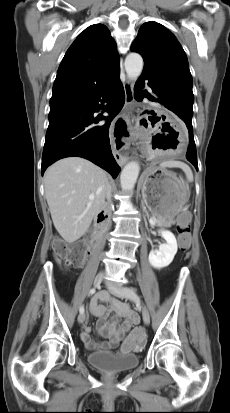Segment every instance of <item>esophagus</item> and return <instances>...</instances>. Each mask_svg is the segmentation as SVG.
<instances>
[{
  "mask_svg": "<svg viewBox=\"0 0 230 413\" xmlns=\"http://www.w3.org/2000/svg\"><path fill=\"white\" fill-rule=\"evenodd\" d=\"M124 92H125V106L122 111V116H125L129 113L132 104L134 103V82L132 80H126L123 83ZM115 159L120 166H123L128 160V156H123L117 151L114 153Z\"/></svg>",
  "mask_w": 230,
  "mask_h": 413,
  "instance_id": "obj_1",
  "label": "esophagus"
}]
</instances>
